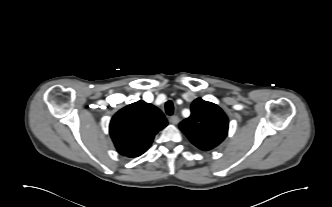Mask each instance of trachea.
Returning a JSON list of instances; mask_svg holds the SVG:
<instances>
[{"label": "trachea", "instance_id": "3493384b", "mask_svg": "<svg viewBox=\"0 0 332 207\" xmlns=\"http://www.w3.org/2000/svg\"><path fill=\"white\" fill-rule=\"evenodd\" d=\"M165 111L168 115H172L174 113V105L172 101L169 100L165 103Z\"/></svg>", "mask_w": 332, "mask_h": 207}]
</instances>
